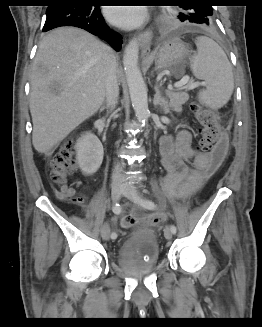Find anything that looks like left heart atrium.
<instances>
[{
  "label": "left heart atrium",
  "instance_id": "1",
  "mask_svg": "<svg viewBox=\"0 0 262 327\" xmlns=\"http://www.w3.org/2000/svg\"><path fill=\"white\" fill-rule=\"evenodd\" d=\"M105 14L112 24L125 29L135 28L146 19L143 7H107Z\"/></svg>",
  "mask_w": 262,
  "mask_h": 327
}]
</instances>
